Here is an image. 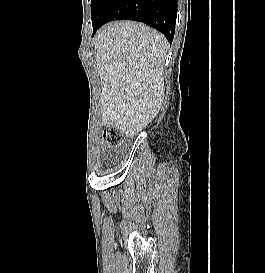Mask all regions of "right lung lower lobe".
Returning a JSON list of instances; mask_svg holds the SVG:
<instances>
[{
	"label": "right lung lower lobe",
	"mask_w": 265,
	"mask_h": 273,
	"mask_svg": "<svg viewBox=\"0 0 265 273\" xmlns=\"http://www.w3.org/2000/svg\"><path fill=\"white\" fill-rule=\"evenodd\" d=\"M176 14V0H113L101 23L93 28V35L109 21L135 20L157 29L172 42Z\"/></svg>",
	"instance_id": "right-lung-lower-lobe-1"
}]
</instances>
